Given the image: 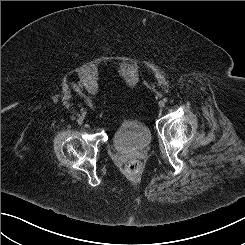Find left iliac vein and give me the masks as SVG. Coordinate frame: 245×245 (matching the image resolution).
Masks as SVG:
<instances>
[{"label":"left iliac vein","mask_w":245,"mask_h":245,"mask_svg":"<svg viewBox=\"0 0 245 245\" xmlns=\"http://www.w3.org/2000/svg\"><path fill=\"white\" fill-rule=\"evenodd\" d=\"M158 105L159 107H164L165 103L163 101H159Z\"/></svg>","instance_id":"left-iliac-vein-1"}]
</instances>
